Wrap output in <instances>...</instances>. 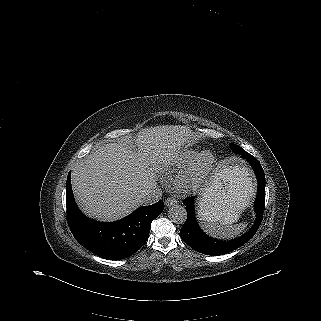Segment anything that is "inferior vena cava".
<instances>
[{"mask_svg":"<svg viewBox=\"0 0 321 321\" xmlns=\"http://www.w3.org/2000/svg\"><path fill=\"white\" fill-rule=\"evenodd\" d=\"M161 198H162V190L159 188H154L142 195L141 204L151 205L159 201Z\"/></svg>","mask_w":321,"mask_h":321,"instance_id":"inferior-vena-cava-1","label":"inferior vena cava"}]
</instances>
